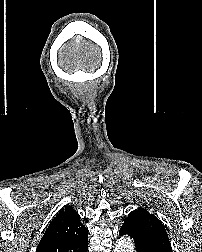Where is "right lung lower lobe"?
I'll return each mask as SVG.
<instances>
[{"mask_svg":"<svg viewBox=\"0 0 202 252\" xmlns=\"http://www.w3.org/2000/svg\"><path fill=\"white\" fill-rule=\"evenodd\" d=\"M87 249H88V245H87V248H86L85 252H87Z\"/></svg>","mask_w":202,"mask_h":252,"instance_id":"obj_1","label":"right lung lower lobe"}]
</instances>
